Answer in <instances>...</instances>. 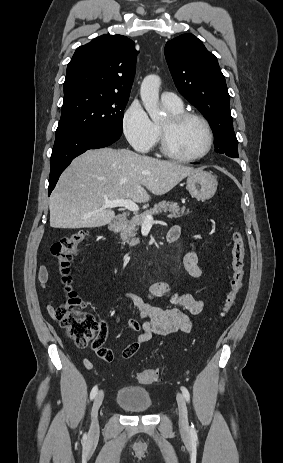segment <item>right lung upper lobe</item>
<instances>
[{
  "label": "right lung upper lobe",
  "mask_w": 283,
  "mask_h": 463,
  "mask_svg": "<svg viewBox=\"0 0 283 463\" xmlns=\"http://www.w3.org/2000/svg\"><path fill=\"white\" fill-rule=\"evenodd\" d=\"M137 53L122 35H102L78 47L67 66L64 100L79 92L129 98Z\"/></svg>",
  "instance_id": "1"
}]
</instances>
